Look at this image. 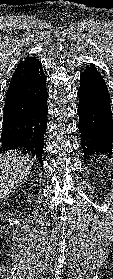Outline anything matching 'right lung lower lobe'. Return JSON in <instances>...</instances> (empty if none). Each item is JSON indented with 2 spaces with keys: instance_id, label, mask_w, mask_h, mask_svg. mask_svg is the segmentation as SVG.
<instances>
[{
  "instance_id": "obj_1",
  "label": "right lung lower lobe",
  "mask_w": 113,
  "mask_h": 279,
  "mask_svg": "<svg viewBox=\"0 0 113 279\" xmlns=\"http://www.w3.org/2000/svg\"><path fill=\"white\" fill-rule=\"evenodd\" d=\"M46 76L41 63L6 94L0 152L20 150L42 164L47 129Z\"/></svg>"
}]
</instances>
